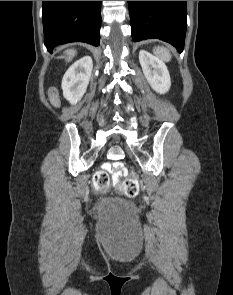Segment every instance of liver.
<instances>
[{
    "label": "liver",
    "mask_w": 233,
    "mask_h": 295,
    "mask_svg": "<svg viewBox=\"0 0 233 295\" xmlns=\"http://www.w3.org/2000/svg\"><path fill=\"white\" fill-rule=\"evenodd\" d=\"M65 54L68 56L66 60L70 61L75 56L76 51L74 49H69L65 52Z\"/></svg>",
    "instance_id": "1"
}]
</instances>
